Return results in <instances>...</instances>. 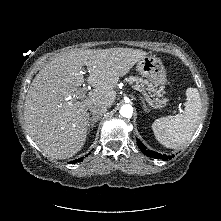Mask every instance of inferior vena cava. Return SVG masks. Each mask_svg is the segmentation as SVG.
I'll return each mask as SVG.
<instances>
[{
	"label": "inferior vena cava",
	"instance_id": "602c4592",
	"mask_svg": "<svg viewBox=\"0 0 221 221\" xmlns=\"http://www.w3.org/2000/svg\"><path fill=\"white\" fill-rule=\"evenodd\" d=\"M89 111L93 114L94 117L100 118L106 113L107 105L103 103H94L89 106Z\"/></svg>",
	"mask_w": 221,
	"mask_h": 221
}]
</instances>
